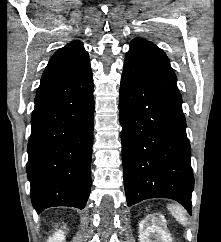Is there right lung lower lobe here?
I'll list each match as a JSON object with an SVG mask.
<instances>
[{"label":"right lung lower lobe","instance_id":"1","mask_svg":"<svg viewBox=\"0 0 221 242\" xmlns=\"http://www.w3.org/2000/svg\"><path fill=\"white\" fill-rule=\"evenodd\" d=\"M93 77L37 92L27 175L37 213L55 206L83 209L91 187Z\"/></svg>","mask_w":221,"mask_h":242}]
</instances>
